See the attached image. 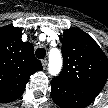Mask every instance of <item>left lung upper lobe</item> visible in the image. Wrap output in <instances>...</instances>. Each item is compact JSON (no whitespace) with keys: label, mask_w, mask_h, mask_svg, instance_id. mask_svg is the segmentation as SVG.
Listing matches in <instances>:
<instances>
[{"label":"left lung upper lobe","mask_w":108,"mask_h":108,"mask_svg":"<svg viewBox=\"0 0 108 108\" xmlns=\"http://www.w3.org/2000/svg\"><path fill=\"white\" fill-rule=\"evenodd\" d=\"M62 55L64 67L54 79L80 86L104 87L108 79V59L87 33L77 28L66 30Z\"/></svg>","instance_id":"obj_1"}]
</instances>
